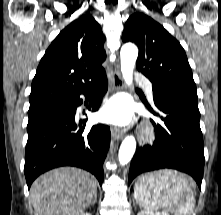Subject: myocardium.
Instances as JSON below:
<instances>
[{
  "mask_svg": "<svg viewBox=\"0 0 221 215\" xmlns=\"http://www.w3.org/2000/svg\"><path fill=\"white\" fill-rule=\"evenodd\" d=\"M152 138H153V133L151 129L149 128L144 129L141 136L142 141H150L152 140Z\"/></svg>",
  "mask_w": 221,
  "mask_h": 215,
  "instance_id": "f54148a6",
  "label": "myocardium"
}]
</instances>
